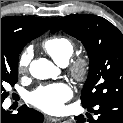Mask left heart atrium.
Segmentation results:
<instances>
[{
  "label": "left heart atrium",
  "mask_w": 123,
  "mask_h": 123,
  "mask_svg": "<svg viewBox=\"0 0 123 123\" xmlns=\"http://www.w3.org/2000/svg\"><path fill=\"white\" fill-rule=\"evenodd\" d=\"M71 96L72 90L67 84L54 83L38 87L29 94L28 101L43 111L58 112Z\"/></svg>",
  "instance_id": "left-heart-atrium-1"
}]
</instances>
